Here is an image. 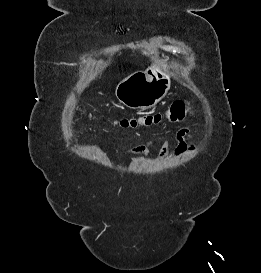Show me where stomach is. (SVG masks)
<instances>
[{"mask_svg": "<svg viewBox=\"0 0 261 273\" xmlns=\"http://www.w3.org/2000/svg\"><path fill=\"white\" fill-rule=\"evenodd\" d=\"M170 85L166 65L162 61H155L144 72L137 71L123 79L117 85L115 94L126 107L148 109L163 99Z\"/></svg>", "mask_w": 261, "mask_h": 273, "instance_id": "obj_1", "label": "stomach"}]
</instances>
